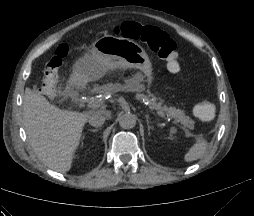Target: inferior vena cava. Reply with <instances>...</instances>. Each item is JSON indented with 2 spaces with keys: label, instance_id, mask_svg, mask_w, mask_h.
<instances>
[{
  "label": "inferior vena cava",
  "instance_id": "inferior-vena-cava-1",
  "mask_svg": "<svg viewBox=\"0 0 254 216\" xmlns=\"http://www.w3.org/2000/svg\"><path fill=\"white\" fill-rule=\"evenodd\" d=\"M106 120V117L101 113H94L88 119V122L93 127H101Z\"/></svg>",
  "mask_w": 254,
  "mask_h": 216
}]
</instances>
